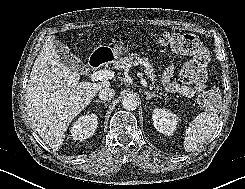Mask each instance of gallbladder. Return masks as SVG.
Segmentation results:
<instances>
[{
  "label": "gallbladder",
  "instance_id": "bac80fb5",
  "mask_svg": "<svg viewBox=\"0 0 245 189\" xmlns=\"http://www.w3.org/2000/svg\"><path fill=\"white\" fill-rule=\"evenodd\" d=\"M54 49L59 55L62 62L71 70L77 71L79 73H84L87 66L83 63L77 56L71 53L67 45L60 41L54 42Z\"/></svg>",
  "mask_w": 245,
  "mask_h": 189
}]
</instances>
